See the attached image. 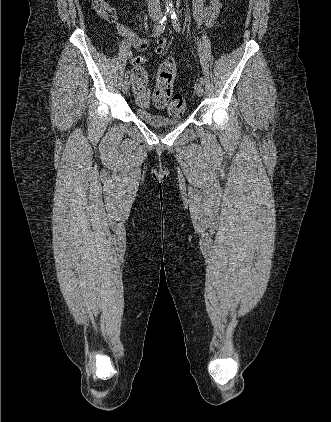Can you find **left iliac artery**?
Returning <instances> with one entry per match:
<instances>
[{"label":"left iliac artery","instance_id":"1","mask_svg":"<svg viewBox=\"0 0 331 422\" xmlns=\"http://www.w3.org/2000/svg\"><path fill=\"white\" fill-rule=\"evenodd\" d=\"M171 20H172V25H173V28L177 31V32H180L181 31V25H180V22H179V19H178V16L176 15V13L175 12H172L171 13ZM200 83L202 84V85H204V79L201 77L200 78Z\"/></svg>","mask_w":331,"mask_h":422}]
</instances>
